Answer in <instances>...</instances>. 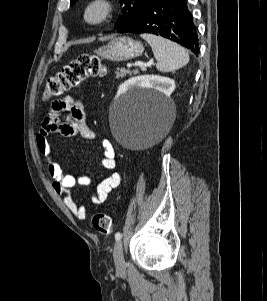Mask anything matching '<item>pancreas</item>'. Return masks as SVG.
<instances>
[{
  "label": "pancreas",
  "instance_id": "pancreas-1",
  "mask_svg": "<svg viewBox=\"0 0 267 301\" xmlns=\"http://www.w3.org/2000/svg\"><path fill=\"white\" fill-rule=\"evenodd\" d=\"M116 73V79L123 78L126 75L137 74V71L126 70L125 68H118Z\"/></svg>",
  "mask_w": 267,
  "mask_h": 301
}]
</instances>
